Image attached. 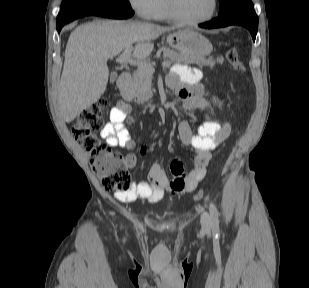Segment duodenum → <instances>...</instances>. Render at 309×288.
<instances>
[{
	"instance_id": "obj_1",
	"label": "duodenum",
	"mask_w": 309,
	"mask_h": 288,
	"mask_svg": "<svg viewBox=\"0 0 309 288\" xmlns=\"http://www.w3.org/2000/svg\"><path fill=\"white\" fill-rule=\"evenodd\" d=\"M131 80V75L128 72H122L117 79V87L120 91V94L122 97L128 101L130 99V96L128 94V84Z\"/></svg>"
}]
</instances>
